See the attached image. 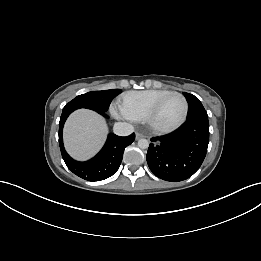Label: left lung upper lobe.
Returning a JSON list of instances; mask_svg holds the SVG:
<instances>
[{
    "label": "left lung upper lobe",
    "mask_w": 261,
    "mask_h": 261,
    "mask_svg": "<svg viewBox=\"0 0 261 261\" xmlns=\"http://www.w3.org/2000/svg\"><path fill=\"white\" fill-rule=\"evenodd\" d=\"M184 95L188 101V105H189V112H188V116H187V120L195 118V117H199V116H207V112L204 109L202 103L200 102V100L195 97L192 94L186 93L184 92Z\"/></svg>",
    "instance_id": "left-lung-upper-lobe-1"
}]
</instances>
